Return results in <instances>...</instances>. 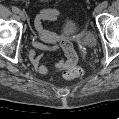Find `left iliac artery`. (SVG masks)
Returning <instances> with one entry per match:
<instances>
[{
  "instance_id": "44dca946",
  "label": "left iliac artery",
  "mask_w": 119,
  "mask_h": 119,
  "mask_svg": "<svg viewBox=\"0 0 119 119\" xmlns=\"http://www.w3.org/2000/svg\"><path fill=\"white\" fill-rule=\"evenodd\" d=\"M101 5L103 6V8H106L108 6V2L107 1H104V2H102Z\"/></svg>"
}]
</instances>
